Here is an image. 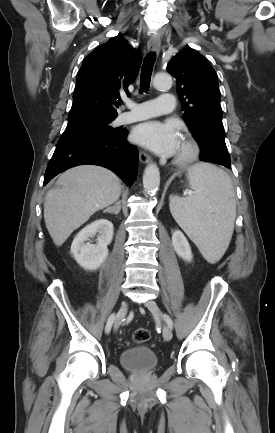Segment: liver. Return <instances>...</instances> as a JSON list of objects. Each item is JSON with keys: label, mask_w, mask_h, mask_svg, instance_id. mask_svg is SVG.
Segmentation results:
<instances>
[{"label": "liver", "mask_w": 275, "mask_h": 433, "mask_svg": "<svg viewBox=\"0 0 275 433\" xmlns=\"http://www.w3.org/2000/svg\"><path fill=\"white\" fill-rule=\"evenodd\" d=\"M121 180L112 171L81 165L62 173L44 202L46 228L56 246L98 210L113 204L121 194Z\"/></svg>", "instance_id": "liver-1"}]
</instances>
